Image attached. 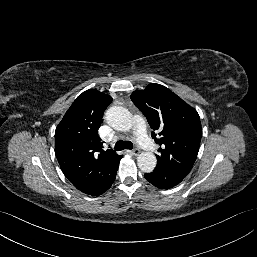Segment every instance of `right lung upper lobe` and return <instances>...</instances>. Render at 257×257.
<instances>
[{"mask_svg": "<svg viewBox=\"0 0 257 257\" xmlns=\"http://www.w3.org/2000/svg\"><path fill=\"white\" fill-rule=\"evenodd\" d=\"M112 97L94 89L80 94L55 131V154L61 170L80 191L99 196L109 189L122 155L104 151L98 129Z\"/></svg>", "mask_w": 257, "mask_h": 257, "instance_id": "right-lung-upper-lobe-1", "label": "right lung upper lobe"}]
</instances>
